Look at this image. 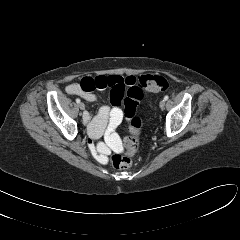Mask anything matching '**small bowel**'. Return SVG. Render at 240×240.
Returning a JSON list of instances; mask_svg holds the SVG:
<instances>
[{"mask_svg": "<svg viewBox=\"0 0 240 240\" xmlns=\"http://www.w3.org/2000/svg\"><path fill=\"white\" fill-rule=\"evenodd\" d=\"M134 76L122 77L119 75L84 77L80 83H73L67 87L71 94H77L89 102L96 100L93 93L96 89L111 88L110 100L112 107L103 106L98 115L92 118L91 114L83 116L92 138H99L104 131H113L122 121L123 112L120 108L125 92L136 85Z\"/></svg>", "mask_w": 240, "mask_h": 240, "instance_id": "c3829d8e", "label": "small bowel"}]
</instances>
